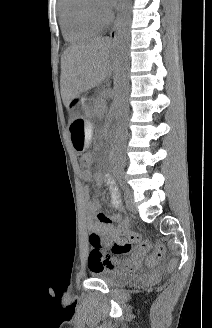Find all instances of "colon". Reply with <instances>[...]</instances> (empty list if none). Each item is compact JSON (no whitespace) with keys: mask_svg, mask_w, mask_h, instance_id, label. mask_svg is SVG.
I'll list each match as a JSON object with an SVG mask.
<instances>
[{"mask_svg":"<svg viewBox=\"0 0 212 328\" xmlns=\"http://www.w3.org/2000/svg\"><path fill=\"white\" fill-rule=\"evenodd\" d=\"M78 162L80 163V170H92V156L90 153H80L78 157ZM89 242L92 250L89 254L88 264L95 265L100 268H110L112 267V261L108 255H105L101 250V239L96 233H91L89 236ZM151 247V243L144 240L140 234L131 233L129 235V241L121 240L116 242L112 246V252L115 255H127L132 252L138 253L146 251ZM165 257V248L161 243L155 244V250L146 258L147 265H155L157 262L161 261ZM177 267V261L171 260L167 264L168 270H174Z\"/></svg>","mask_w":212,"mask_h":328,"instance_id":"1","label":"colon"}]
</instances>
